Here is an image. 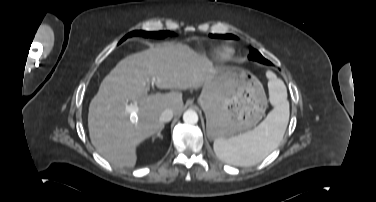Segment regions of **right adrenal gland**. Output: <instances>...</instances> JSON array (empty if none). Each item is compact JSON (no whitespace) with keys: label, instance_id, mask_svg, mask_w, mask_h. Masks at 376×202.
I'll list each match as a JSON object with an SVG mask.
<instances>
[{"label":"right adrenal gland","instance_id":"1","mask_svg":"<svg viewBox=\"0 0 376 202\" xmlns=\"http://www.w3.org/2000/svg\"><path fill=\"white\" fill-rule=\"evenodd\" d=\"M163 128H164V126H162V128L158 131V133L156 135L161 140L163 139V136L161 135V131H162ZM154 139H155V135L152 136V140H154Z\"/></svg>","mask_w":376,"mask_h":202}]
</instances>
